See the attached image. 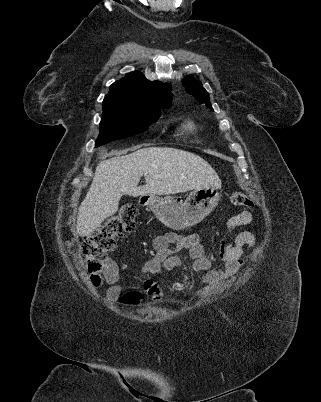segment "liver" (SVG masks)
Here are the masks:
<instances>
[{"label": "liver", "mask_w": 321, "mask_h": 402, "mask_svg": "<svg viewBox=\"0 0 321 402\" xmlns=\"http://www.w3.org/2000/svg\"><path fill=\"white\" fill-rule=\"evenodd\" d=\"M145 176V185L138 186ZM220 188L215 170L200 156L170 147H145L101 161L77 216V233L89 236L113 216L121 197L167 195L202 187Z\"/></svg>", "instance_id": "1"}]
</instances>
